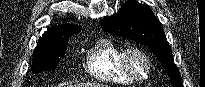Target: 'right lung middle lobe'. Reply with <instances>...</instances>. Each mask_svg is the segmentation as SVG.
<instances>
[{"instance_id": "obj_1", "label": "right lung middle lobe", "mask_w": 205, "mask_h": 87, "mask_svg": "<svg viewBox=\"0 0 205 87\" xmlns=\"http://www.w3.org/2000/svg\"><path fill=\"white\" fill-rule=\"evenodd\" d=\"M68 39L69 38L51 42H38L33 52L32 72L41 73L45 70L57 67L66 51Z\"/></svg>"}]
</instances>
